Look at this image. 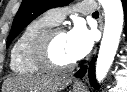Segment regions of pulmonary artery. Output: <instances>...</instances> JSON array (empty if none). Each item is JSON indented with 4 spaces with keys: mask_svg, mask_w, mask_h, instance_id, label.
I'll use <instances>...</instances> for the list:
<instances>
[{
    "mask_svg": "<svg viewBox=\"0 0 127 92\" xmlns=\"http://www.w3.org/2000/svg\"><path fill=\"white\" fill-rule=\"evenodd\" d=\"M98 9V5L95 2H83L76 7V10L82 14H90ZM68 12L65 8H54L48 12V17L55 23H60L66 13Z\"/></svg>",
    "mask_w": 127,
    "mask_h": 92,
    "instance_id": "1",
    "label": "pulmonary artery"
}]
</instances>
